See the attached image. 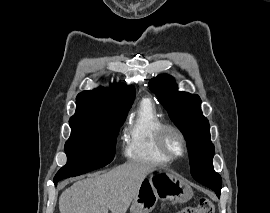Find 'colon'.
<instances>
[{"label":"colon","mask_w":270,"mask_h":213,"mask_svg":"<svg viewBox=\"0 0 270 213\" xmlns=\"http://www.w3.org/2000/svg\"><path fill=\"white\" fill-rule=\"evenodd\" d=\"M178 213H215V208L209 199L202 198L196 205L186 206Z\"/></svg>","instance_id":"1"}]
</instances>
